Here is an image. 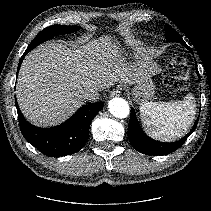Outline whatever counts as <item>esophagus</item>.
Returning <instances> with one entry per match:
<instances>
[{
  "label": "esophagus",
  "instance_id": "34e87169",
  "mask_svg": "<svg viewBox=\"0 0 211 211\" xmlns=\"http://www.w3.org/2000/svg\"><path fill=\"white\" fill-rule=\"evenodd\" d=\"M121 94V89L119 87H116L113 89L110 93L111 97L119 96Z\"/></svg>",
  "mask_w": 211,
  "mask_h": 211
}]
</instances>
